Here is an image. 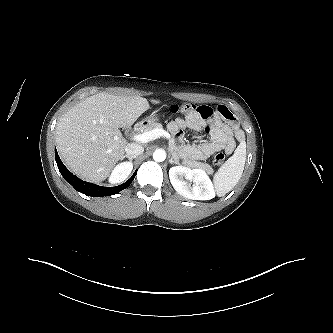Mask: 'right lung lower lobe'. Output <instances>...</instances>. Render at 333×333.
Listing matches in <instances>:
<instances>
[{
    "mask_svg": "<svg viewBox=\"0 0 333 333\" xmlns=\"http://www.w3.org/2000/svg\"><path fill=\"white\" fill-rule=\"evenodd\" d=\"M55 159L57 162L58 169L62 174V176L64 177V179L69 184H71L77 191L87 196L101 197V196H111L117 194L121 190L128 187L131 184V182L134 180V177L136 175L134 173L133 176L122 185L116 187H103L89 182H85L79 179L77 176L73 175L60 160L57 150L55 151Z\"/></svg>",
    "mask_w": 333,
    "mask_h": 333,
    "instance_id": "right-lung-lower-lobe-1",
    "label": "right lung lower lobe"
}]
</instances>
